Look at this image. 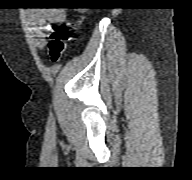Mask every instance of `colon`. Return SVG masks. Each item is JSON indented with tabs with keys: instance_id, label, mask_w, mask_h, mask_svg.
<instances>
[{
	"instance_id": "obj_1",
	"label": "colon",
	"mask_w": 192,
	"mask_h": 180,
	"mask_svg": "<svg viewBox=\"0 0 192 180\" xmlns=\"http://www.w3.org/2000/svg\"><path fill=\"white\" fill-rule=\"evenodd\" d=\"M71 39V31L68 26L56 29L50 36L48 54L52 62H58L65 51L66 43Z\"/></svg>"
}]
</instances>
